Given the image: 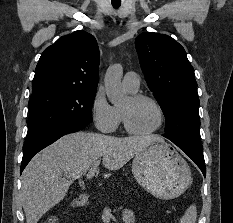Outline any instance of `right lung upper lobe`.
<instances>
[{"instance_id": "right-lung-upper-lobe-1", "label": "right lung upper lobe", "mask_w": 233, "mask_h": 223, "mask_svg": "<svg viewBox=\"0 0 233 223\" xmlns=\"http://www.w3.org/2000/svg\"><path fill=\"white\" fill-rule=\"evenodd\" d=\"M99 76L97 41L85 31L62 36L42 53L32 95L54 89L96 90Z\"/></svg>"}]
</instances>
